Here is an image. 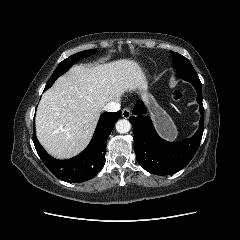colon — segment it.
<instances>
[{"instance_id":"colon-1","label":"colon","mask_w":240,"mask_h":240,"mask_svg":"<svg viewBox=\"0 0 240 240\" xmlns=\"http://www.w3.org/2000/svg\"><path fill=\"white\" fill-rule=\"evenodd\" d=\"M172 97L175 101H180L182 98V93L178 90L174 91Z\"/></svg>"}]
</instances>
